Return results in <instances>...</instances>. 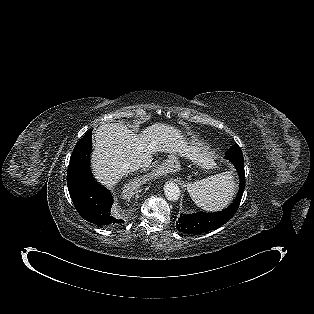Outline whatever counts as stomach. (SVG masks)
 <instances>
[{"label": "stomach", "instance_id": "obj_1", "mask_svg": "<svg viewBox=\"0 0 314 314\" xmlns=\"http://www.w3.org/2000/svg\"><path fill=\"white\" fill-rule=\"evenodd\" d=\"M166 165L169 168H172L174 170H178L180 165H179V162H178V159H177V155L169 156L168 159L166 160Z\"/></svg>", "mask_w": 314, "mask_h": 314}]
</instances>
